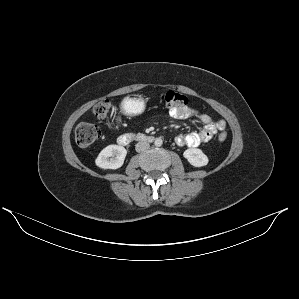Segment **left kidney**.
Segmentation results:
<instances>
[{"instance_id":"1","label":"left kidney","mask_w":299,"mask_h":299,"mask_svg":"<svg viewBox=\"0 0 299 299\" xmlns=\"http://www.w3.org/2000/svg\"><path fill=\"white\" fill-rule=\"evenodd\" d=\"M183 156L194 167H202L208 164V157L200 149L191 148L184 151Z\"/></svg>"}]
</instances>
